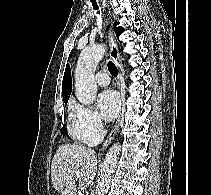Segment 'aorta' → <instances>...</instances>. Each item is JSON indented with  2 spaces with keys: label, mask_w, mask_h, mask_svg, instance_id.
Wrapping results in <instances>:
<instances>
[{
  "label": "aorta",
  "mask_w": 211,
  "mask_h": 195,
  "mask_svg": "<svg viewBox=\"0 0 211 195\" xmlns=\"http://www.w3.org/2000/svg\"><path fill=\"white\" fill-rule=\"evenodd\" d=\"M105 51L106 47L101 44L85 48L78 59L75 69V94L77 99L84 105H90L96 99L97 85L94 80V73ZM120 149V144L115 143L107 152L95 195H106L108 192Z\"/></svg>",
  "instance_id": "obj_1"
}]
</instances>
